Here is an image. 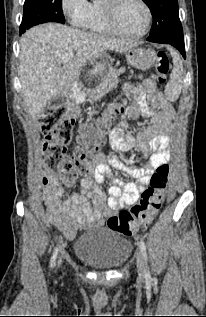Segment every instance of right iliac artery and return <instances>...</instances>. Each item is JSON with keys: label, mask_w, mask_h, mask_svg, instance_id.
I'll list each match as a JSON object with an SVG mask.
<instances>
[{"label": "right iliac artery", "mask_w": 206, "mask_h": 317, "mask_svg": "<svg viewBox=\"0 0 206 317\" xmlns=\"http://www.w3.org/2000/svg\"><path fill=\"white\" fill-rule=\"evenodd\" d=\"M57 254H58V247L57 248H55V250H54V253H53V255H52V258H51V268H53V266H54V263H55V260H56V257H57Z\"/></svg>", "instance_id": "obj_1"}]
</instances>
